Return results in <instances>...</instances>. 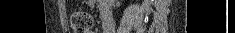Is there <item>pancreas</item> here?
Wrapping results in <instances>:
<instances>
[{"instance_id":"obj_1","label":"pancreas","mask_w":235,"mask_h":33,"mask_svg":"<svg viewBox=\"0 0 235 33\" xmlns=\"http://www.w3.org/2000/svg\"><path fill=\"white\" fill-rule=\"evenodd\" d=\"M99 2H100V5H102V3L104 2V0H99Z\"/></svg>"}]
</instances>
